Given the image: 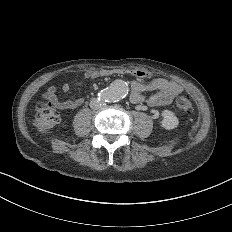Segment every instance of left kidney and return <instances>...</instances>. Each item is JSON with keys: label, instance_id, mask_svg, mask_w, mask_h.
Returning <instances> with one entry per match:
<instances>
[{"label": "left kidney", "instance_id": "left-kidney-1", "mask_svg": "<svg viewBox=\"0 0 232 232\" xmlns=\"http://www.w3.org/2000/svg\"><path fill=\"white\" fill-rule=\"evenodd\" d=\"M163 120H162V127L170 130L174 129L178 126L179 121L178 118L174 115L172 111L164 110L162 112Z\"/></svg>", "mask_w": 232, "mask_h": 232}]
</instances>
